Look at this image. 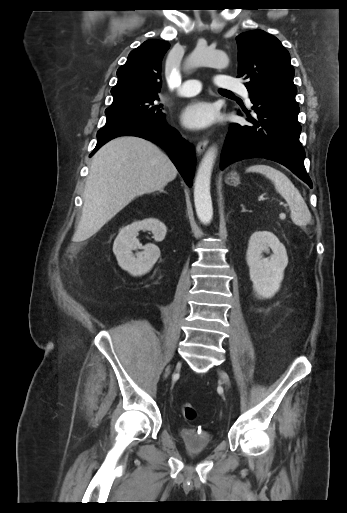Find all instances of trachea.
<instances>
[{
  "label": "trachea",
  "mask_w": 347,
  "mask_h": 513,
  "mask_svg": "<svg viewBox=\"0 0 347 513\" xmlns=\"http://www.w3.org/2000/svg\"><path fill=\"white\" fill-rule=\"evenodd\" d=\"M219 92H221V93L231 94V92H230V91H227V90H225V89H219Z\"/></svg>",
  "instance_id": "1"
}]
</instances>
